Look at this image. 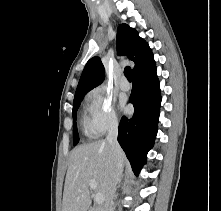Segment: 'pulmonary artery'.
<instances>
[{
  "instance_id": "e3ab8cb5",
  "label": "pulmonary artery",
  "mask_w": 221,
  "mask_h": 211,
  "mask_svg": "<svg viewBox=\"0 0 221 211\" xmlns=\"http://www.w3.org/2000/svg\"><path fill=\"white\" fill-rule=\"evenodd\" d=\"M119 86L123 91H128L130 89V85L125 77L121 78Z\"/></svg>"
}]
</instances>
